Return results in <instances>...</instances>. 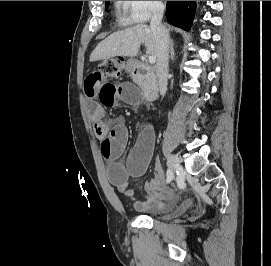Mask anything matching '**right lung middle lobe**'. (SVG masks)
Returning a JSON list of instances; mask_svg holds the SVG:
<instances>
[{"mask_svg": "<svg viewBox=\"0 0 271 266\" xmlns=\"http://www.w3.org/2000/svg\"><path fill=\"white\" fill-rule=\"evenodd\" d=\"M110 1H106V8L109 6Z\"/></svg>", "mask_w": 271, "mask_h": 266, "instance_id": "obj_1", "label": "right lung middle lobe"}]
</instances>
